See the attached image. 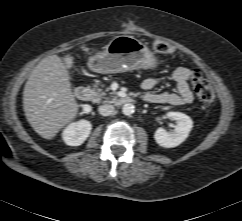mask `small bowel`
<instances>
[{"label": "small bowel", "instance_id": "1", "mask_svg": "<svg viewBox=\"0 0 242 221\" xmlns=\"http://www.w3.org/2000/svg\"><path fill=\"white\" fill-rule=\"evenodd\" d=\"M192 71L187 67H177L171 74V79L176 85V92H152L158 83L157 79L148 78L142 82L144 90L143 99L154 104H169L173 106H185L193 102V94L190 89Z\"/></svg>", "mask_w": 242, "mask_h": 221}]
</instances>
